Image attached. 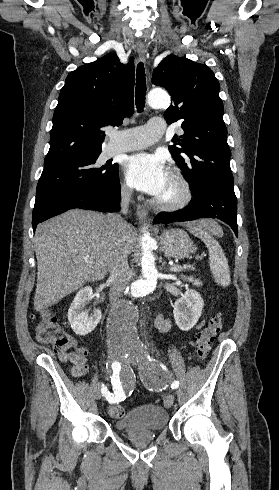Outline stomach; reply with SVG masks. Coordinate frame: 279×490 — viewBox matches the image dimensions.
Segmentation results:
<instances>
[{
  "label": "stomach",
  "mask_w": 279,
  "mask_h": 490,
  "mask_svg": "<svg viewBox=\"0 0 279 490\" xmlns=\"http://www.w3.org/2000/svg\"><path fill=\"white\" fill-rule=\"evenodd\" d=\"M162 250L167 258L183 260L193 254V244L183 230H164L160 238Z\"/></svg>",
  "instance_id": "1"
}]
</instances>
